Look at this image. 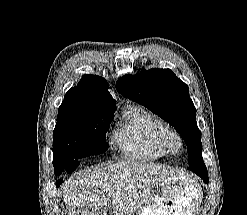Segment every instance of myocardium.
<instances>
[{"instance_id":"myocardium-1","label":"myocardium","mask_w":247,"mask_h":215,"mask_svg":"<svg viewBox=\"0 0 247 215\" xmlns=\"http://www.w3.org/2000/svg\"><path fill=\"white\" fill-rule=\"evenodd\" d=\"M166 150L170 154H178L183 148L182 136L174 130H167L163 137Z\"/></svg>"}]
</instances>
